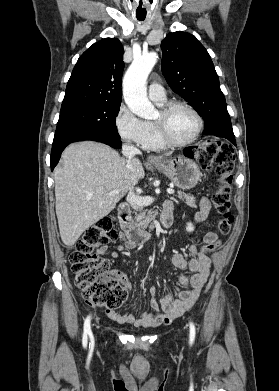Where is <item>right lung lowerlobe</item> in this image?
Wrapping results in <instances>:
<instances>
[{"mask_svg":"<svg viewBox=\"0 0 279 391\" xmlns=\"http://www.w3.org/2000/svg\"><path fill=\"white\" fill-rule=\"evenodd\" d=\"M82 140H94V141L103 142L113 148H118L121 144V140L119 139L118 132L112 129L93 131V132L76 136L68 140L55 142L53 143L52 152H51V170H53L54 167L57 165L62 151L69 143L82 141Z\"/></svg>","mask_w":279,"mask_h":391,"instance_id":"obj_1","label":"right lung lower lobe"}]
</instances>
